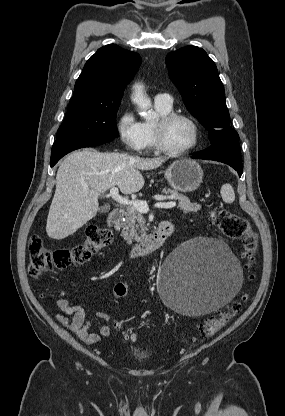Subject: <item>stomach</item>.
Returning a JSON list of instances; mask_svg holds the SVG:
<instances>
[{
  "instance_id": "1",
  "label": "stomach",
  "mask_w": 285,
  "mask_h": 416,
  "mask_svg": "<svg viewBox=\"0 0 285 416\" xmlns=\"http://www.w3.org/2000/svg\"><path fill=\"white\" fill-rule=\"evenodd\" d=\"M169 186L176 192H194L202 184L203 170L195 160H176L165 172Z\"/></svg>"
}]
</instances>
